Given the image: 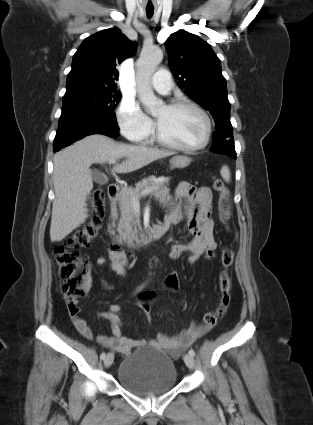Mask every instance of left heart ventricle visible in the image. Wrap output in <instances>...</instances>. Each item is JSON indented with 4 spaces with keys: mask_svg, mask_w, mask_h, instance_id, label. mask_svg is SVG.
Segmentation results:
<instances>
[{
    "mask_svg": "<svg viewBox=\"0 0 313 425\" xmlns=\"http://www.w3.org/2000/svg\"><path fill=\"white\" fill-rule=\"evenodd\" d=\"M155 118L162 137L174 144L193 147L198 145L204 137V120L192 109L171 110L162 107L155 113Z\"/></svg>",
    "mask_w": 313,
    "mask_h": 425,
    "instance_id": "b2bd125f",
    "label": "left heart ventricle"
}]
</instances>
